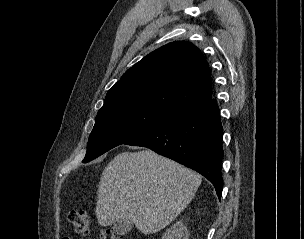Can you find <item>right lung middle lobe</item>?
Segmentation results:
<instances>
[{"label":"right lung middle lobe","mask_w":304,"mask_h":239,"mask_svg":"<svg viewBox=\"0 0 304 239\" xmlns=\"http://www.w3.org/2000/svg\"><path fill=\"white\" fill-rule=\"evenodd\" d=\"M168 119L166 115L141 108L118 109L98 114L83 162H89L108 150L127 143Z\"/></svg>","instance_id":"right-lung-middle-lobe-1"}]
</instances>
